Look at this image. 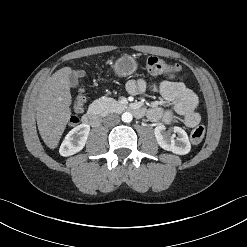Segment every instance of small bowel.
<instances>
[{"label":"small bowel","mask_w":247,"mask_h":247,"mask_svg":"<svg viewBox=\"0 0 247 247\" xmlns=\"http://www.w3.org/2000/svg\"><path fill=\"white\" fill-rule=\"evenodd\" d=\"M126 88L132 95L158 94L171 103V107L168 109L150 108L147 116L152 122L169 124L179 120L187 127H194L201 120L200 114L196 110L197 95L184 83L175 80L173 75L159 82L144 79L131 80L127 83Z\"/></svg>","instance_id":"1"}]
</instances>
